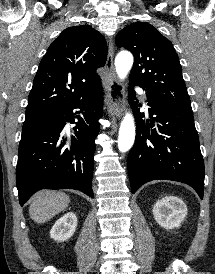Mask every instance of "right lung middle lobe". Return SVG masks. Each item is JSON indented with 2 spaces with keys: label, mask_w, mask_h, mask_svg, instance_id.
<instances>
[{
  "label": "right lung middle lobe",
  "mask_w": 215,
  "mask_h": 274,
  "mask_svg": "<svg viewBox=\"0 0 215 274\" xmlns=\"http://www.w3.org/2000/svg\"><path fill=\"white\" fill-rule=\"evenodd\" d=\"M55 112L56 111L52 110H37L26 112L22 133L48 120L54 115Z\"/></svg>",
  "instance_id": "dd1d6c3e"
}]
</instances>
